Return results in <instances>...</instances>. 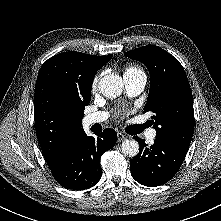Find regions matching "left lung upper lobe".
<instances>
[{
  "mask_svg": "<svg viewBox=\"0 0 221 221\" xmlns=\"http://www.w3.org/2000/svg\"><path fill=\"white\" fill-rule=\"evenodd\" d=\"M148 68L151 87L144 111H151L156 138L189 148L194 130L190 85L179 61L154 45L124 53Z\"/></svg>",
  "mask_w": 221,
  "mask_h": 221,
  "instance_id": "5c2ea615",
  "label": "left lung upper lobe"
}]
</instances>
